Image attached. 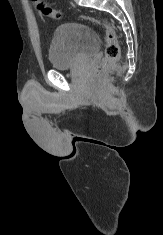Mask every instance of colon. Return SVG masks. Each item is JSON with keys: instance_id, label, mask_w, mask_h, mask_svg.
Wrapping results in <instances>:
<instances>
[{"instance_id": "5ec220e1", "label": "colon", "mask_w": 163, "mask_h": 235, "mask_svg": "<svg viewBox=\"0 0 163 235\" xmlns=\"http://www.w3.org/2000/svg\"><path fill=\"white\" fill-rule=\"evenodd\" d=\"M34 2L37 4V7L42 14L56 20L61 19L62 14L58 10L44 4L41 0H34ZM85 19L95 24L101 25L104 28L107 45L105 49V55L98 68L99 73H104L111 65L115 64L119 60L120 47L117 34L113 27L103 19L95 17H85Z\"/></svg>"}]
</instances>
